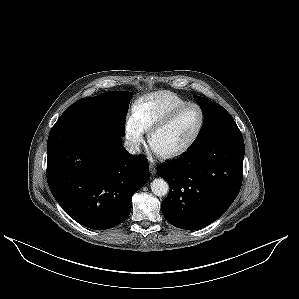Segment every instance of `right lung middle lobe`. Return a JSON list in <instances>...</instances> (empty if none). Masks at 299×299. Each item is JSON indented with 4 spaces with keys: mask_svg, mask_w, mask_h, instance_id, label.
<instances>
[{
    "mask_svg": "<svg viewBox=\"0 0 299 299\" xmlns=\"http://www.w3.org/2000/svg\"><path fill=\"white\" fill-rule=\"evenodd\" d=\"M131 95L127 91H111L80 99L68 107L58 122L95 126L123 137Z\"/></svg>",
    "mask_w": 299,
    "mask_h": 299,
    "instance_id": "dd1d6c3e",
    "label": "right lung middle lobe"
}]
</instances>
